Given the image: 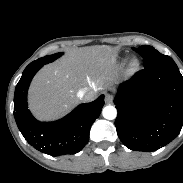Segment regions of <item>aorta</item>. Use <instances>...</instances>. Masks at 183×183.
<instances>
[{
	"instance_id": "aorta-1",
	"label": "aorta",
	"mask_w": 183,
	"mask_h": 183,
	"mask_svg": "<svg viewBox=\"0 0 183 183\" xmlns=\"http://www.w3.org/2000/svg\"><path fill=\"white\" fill-rule=\"evenodd\" d=\"M102 114L105 119L113 120L117 116V110L115 107L109 105L103 108Z\"/></svg>"
}]
</instances>
